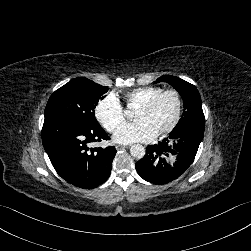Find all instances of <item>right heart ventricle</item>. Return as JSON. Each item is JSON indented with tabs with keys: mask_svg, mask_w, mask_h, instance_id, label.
I'll list each match as a JSON object with an SVG mask.
<instances>
[{
	"mask_svg": "<svg viewBox=\"0 0 251 251\" xmlns=\"http://www.w3.org/2000/svg\"><path fill=\"white\" fill-rule=\"evenodd\" d=\"M164 90L161 86H144L135 88L126 93V102L129 107L137 106L140 107L142 104L149 101L155 95L159 94Z\"/></svg>",
	"mask_w": 251,
	"mask_h": 251,
	"instance_id": "obj_1",
	"label": "right heart ventricle"
}]
</instances>
